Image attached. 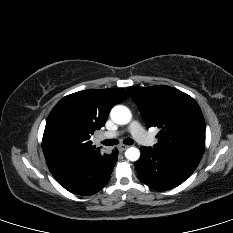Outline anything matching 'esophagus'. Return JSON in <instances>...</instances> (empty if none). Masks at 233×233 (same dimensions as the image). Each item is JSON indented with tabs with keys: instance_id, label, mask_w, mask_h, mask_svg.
<instances>
[{
	"instance_id": "esophagus-1",
	"label": "esophagus",
	"mask_w": 233,
	"mask_h": 233,
	"mask_svg": "<svg viewBox=\"0 0 233 233\" xmlns=\"http://www.w3.org/2000/svg\"><path fill=\"white\" fill-rule=\"evenodd\" d=\"M129 146L128 145H124V144H121L118 146V150L120 152H123L124 150H126Z\"/></svg>"
}]
</instances>
